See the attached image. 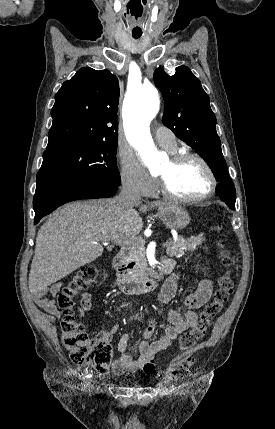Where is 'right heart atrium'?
I'll list each match as a JSON object with an SVG mask.
<instances>
[{
  "label": "right heart atrium",
  "instance_id": "right-heart-atrium-1",
  "mask_svg": "<svg viewBox=\"0 0 275 429\" xmlns=\"http://www.w3.org/2000/svg\"><path fill=\"white\" fill-rule=\"evenodd\" d=\"M120 178L123 186L136 194H149L155 186L154 182L125 155H121Z\"/></svg>",
  "mask_w": 275,
  "mask_h": 429
}]
</instances>
